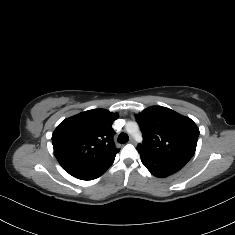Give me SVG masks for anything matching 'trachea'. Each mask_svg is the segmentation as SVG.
Here are the masks:
<instances>
[{
  "mask_svg": "<svg viewBox=\"0 0 235 235\" xmlns=\"http://www.w3.org/2000/svg\"><path fill=\"white\" fill-rule=\"evenodd\" d=\"M129 140V137L127 134L125 133H121L119 136H118V142L119 143H127Z\"/></svg>",
  "mask_w": 235,
  "mask_h": 235,
  "instance_id": "trachea-1",
  "label": "trachea"
}]
</instances>
